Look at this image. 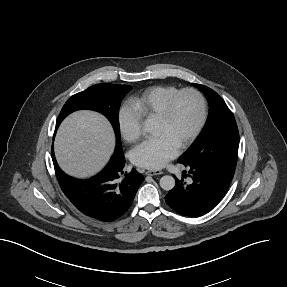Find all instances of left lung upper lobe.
<instances>
[{
  "label": "left lung upper lobe",
  "mask_w": 287,
  "mask_h": 287,
  "mask_svg": "<svg viewBox=\"0 0 287 287\" xmlns=\"http://www.w3.org/2000/svg\"><path fill=\"white\" fill-rule=\"evenodd\" d=\"M209 102L207 123L190 146L178 159L185 166L203 164L234 172L239 147L236 121L223 99L212 89L195 84Z\"/></svg>",
  "instance_id": "obj_1"
}]
</instances>
